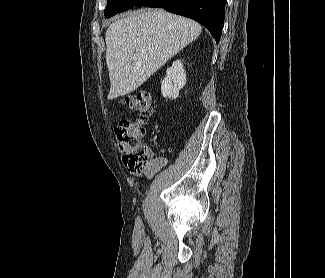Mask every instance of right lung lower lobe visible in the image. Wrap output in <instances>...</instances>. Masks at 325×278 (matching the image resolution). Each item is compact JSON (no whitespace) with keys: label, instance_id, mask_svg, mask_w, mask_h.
I'll return each instance as SVG.
<instances>
[{"label":"right lung lower lobe","instance_id":"98d812e1","mask_svg":"<svg viewBox=\"0 0 325 278\" xmlns=\"http://www.w3.org/2000/svg\"><path fill=\"white\" fill-rule=\"evenodd\" d=\"M226 0H137L134 6L159 7L204 25L219 42L224 25ZM133 6V7H134Z\"/></svg>","mask_w":325,"mask_h":278}]
</instances>
